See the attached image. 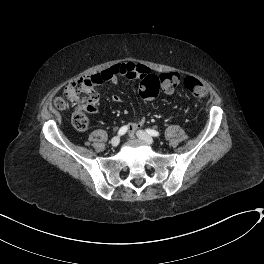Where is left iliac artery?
<instances>
[{
	"label": "left iliac artery",
	"mask_w": 264,
	"mask_h": 264,
	"mask_svg": "<svg viewBox=\"0 0 264 264\" xmlns=\"http://www.w3.org/2000/svg\"><path fill=\"white\" fill-rule=\"evenodd\" d=\"M146 132L151 135V136H154V137H157L160 135V133L156 130H153V129H146Z\"/></svg>",
	"instance_id": "left-iliac-artery-1"
}]
</instances>
